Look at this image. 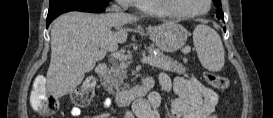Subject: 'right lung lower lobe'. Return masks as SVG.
<instances>
[{
  "instance_id": "right-lung-lower-lobe-1",
  "label": "right lung lower lobe",
  "mask_w": 273,
  "mask_h": 118,
  "mask_svg": "<svg viewBox=\"0 0 273 118\" xmlns=\"http://www.w3.org/2000/svg\"><path fill=\"white\" fill-rule=\"evenodd\" d=\"M70 11L101 13L105 11V8L75 0H52L49 5V12L46 20L47 27L60 14Z\"/></svg>"
}]
</instances>
